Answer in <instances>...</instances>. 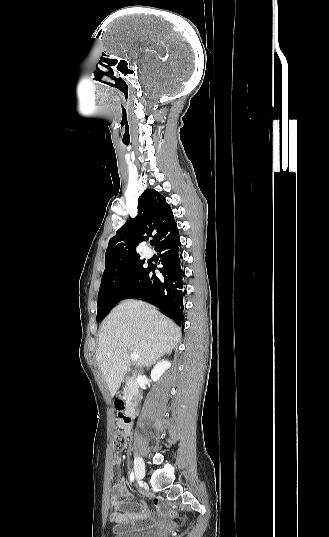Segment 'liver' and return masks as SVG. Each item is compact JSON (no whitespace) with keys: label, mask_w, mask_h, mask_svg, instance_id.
I'll list each match as a JSON object with an SVG mask.
<instances>
[{"label":"liver","mask_w":329,"mask_h":537,"mask_svg":"<svg viewBox=\"0 0 329 537\" xmlns=\"http://www.w3.org/2000/svg\"><path fill=\"white\" fill-rule=\"evenodd\" d=\"M181 329L154 306L127 300L115 307L103 321L96 350L98 366L113 397L129 370L131 357L147 366L170 353L180 342Z\"/></svg>","instance_id":"obj_1"}]
</instances>
